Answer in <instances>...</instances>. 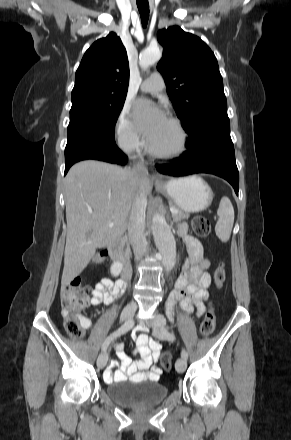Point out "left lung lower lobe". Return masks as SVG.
<instances>
[{"label":"left lung lower lobe","mask_w":291,"mask_h":440,"mask_svg":"<svg viewBox=\"0 0 291 440\" xmlns=\"http://www.w3.org/2000/svg\"><path fill=\"white\" fill-rule=\"evenodd\" d=\"M188 150L175 163L158 164L156 169L174 177L195 173H210L226 179L238 195L239 173L234 146L230 137V124L206 129L197 139L186 141Z\"/></svg>","instance_id":"left-lung-lower-lobe-1"}]
</instances>
